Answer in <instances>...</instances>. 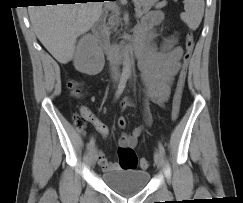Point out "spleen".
I'll return each mask as SVG.
<instances>
[{
	"label": "spleen",
	"instance_id": "spleen-1",
	"mask_svg": "<svg viewBox=\"0 0 243 203\" xmlns=\"http://www.w3.org/2000/svg\"><path fill=\"white\" fill-rule=\"evenodd\" d=\"M204 6V0H184L185 12L181 14V19L190 29L196 30L199 27L204 15Z\"/></svg>",
	"mask_w": 243,
	"mask_h": 203
}]
</instances>
